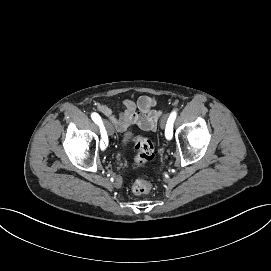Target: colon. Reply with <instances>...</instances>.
<instances>
[{
  "instance_id": "obj_1",
  "label": "colon",
  "mask_w": 271,
  "mask_h": 271,
  "mask_svg": "<svg viewBox=\"0 0 271 271\" xmlns=\"http://www.w3.org/2000/svg\"><path fill=\"white\" fill-rule=\"evenodd\" d=\"M135 148L137 153L135 161L137 164L143 165L154 158V147L152 142L142 136H138L135 140ZM152 188L149 180L141 178L134 182L132 191L136 195L147 194Z\"/></svg>"
}]
</instances>
